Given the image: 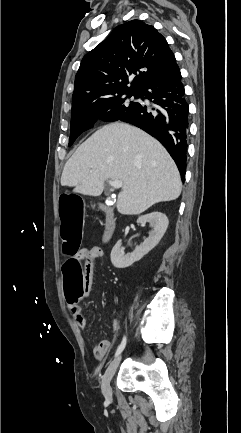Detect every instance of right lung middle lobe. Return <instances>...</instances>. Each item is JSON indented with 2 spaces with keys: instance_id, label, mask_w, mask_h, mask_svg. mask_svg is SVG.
<instances>
[{
  "instance_id": "right-lung-middle-lobe-1",
  "label": "right lung middle lobe",
  "mask_w": 241,
  "mask_h": 433,
  "mask_svg": "<svg viewBox=\"0 0 241 433\" xmlns=\"http://www.w3.org/2000/svg\"><path fill=\"white\" fill-rule=\"evenodd\" d=\"M131 96L139 98L140 94L138 91H123L105 98L73 104L69 146L82 132L91 128L97 118L117 121L130 114L138 105V102L129 100Z\"/></svg>"
}]
</instances>
